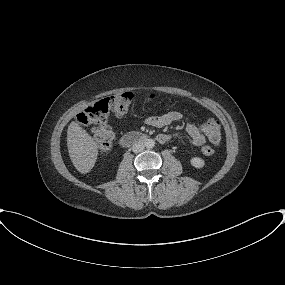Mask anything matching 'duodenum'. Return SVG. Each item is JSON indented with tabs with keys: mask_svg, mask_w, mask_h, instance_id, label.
<instances>
[{
	"mask_svg": "<svg viewBox=\"0 0 285 285\" xmlns=\"http://www.w3.org/2000/svg\"><path fill=\"white\" fill-rule=\"evenodd\" d=\"M148 138L149 136L144 133L131 132L123 135L119 140V144L121 147H129L134 144L142 143L148 140Z\"/></svg>",
	"mask_w": 285,
	"mask_h": 285,
	"instance_id": "obj_1",
	"label": "duodenum"
}]
</instances>
